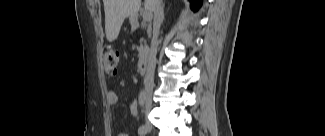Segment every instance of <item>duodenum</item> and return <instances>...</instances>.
<instances>
[{"instance_id": "410a0bca", "label": "duodenum", "mask_w": 325, "mask_h": 136, "mask_svg": "<svg viewBox=\"0 0 325 136\" xmlns=\"http://www.w3.org/2000/svg\"><path fill=\"white\" fill-rule=\"evenodd\" d=\"M151 51V47L148 45L145 47L142 56L138 62L137 69L140 73H143L148 65V58H149V53Z\"/></svg>"}]
</instances>
